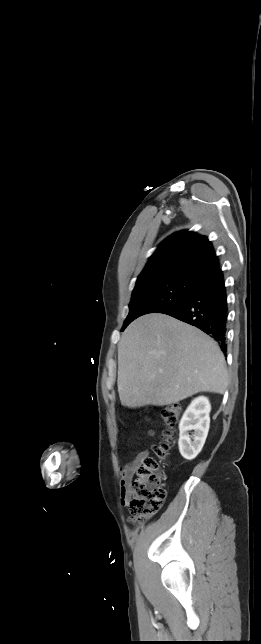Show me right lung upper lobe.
<instances>
[{"label":"right lung upper lobe","instance_id":"1","mask_svg":"<svg viewBox=\"0 0 261 644\" xmlns=\"http://www.w3.org/2000/svg\"><path fill=\"white\" fill-rule=\"evenodd\" d=\"M218 268L219 260L211 242L205 236L184 230L160 243L138 276L136 286L167 278L197 281Z\"/></svg>","mask_w":261,"mask_h":644}]
</instances>
